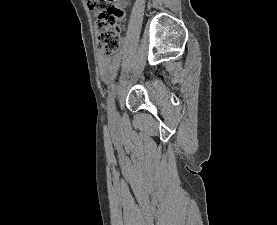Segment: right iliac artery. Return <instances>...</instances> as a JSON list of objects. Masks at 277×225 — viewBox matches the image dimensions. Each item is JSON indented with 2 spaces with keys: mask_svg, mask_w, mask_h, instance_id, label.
Returning <instances> with one entry per match:
<instances>
[{
  "mask_svg": "<svg viewBox=\"0 0 277 225\" xmlns=\"http://www.w3.org/2000/svg\"><path fill=\"white\" fill-rule=\"evenodd\" d=\"M118 87L114 86L109 94L108 101H107V108H108V117L111 121H114L115 114H114V102L117 93Z\"/></svg>",
  "mask_w": 277,
  "mask_h": 225,
  "instance_id": "right-iliac-artery-1",
  "label": "right iliac artery"
}]
</instances>
